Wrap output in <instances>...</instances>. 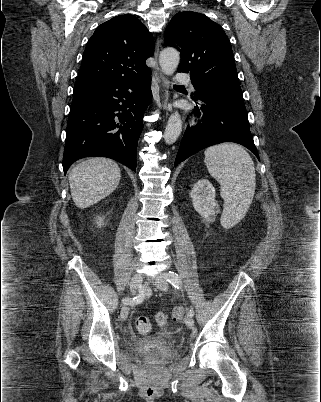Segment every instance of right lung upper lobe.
<instances>
[{"instance_id":"1","label":"right lung upper lobe","mask_w":321,"mask_h":402,"mask_svg":"<svg viewBox=\"0 0 321 402\" xmlns=\"http://www.w3.org/2000/svg\"><path fill=\"white\" fill-rule=\"evenodd\" d=\"M153 53L152 34L142 22L132 15L116 16L89 39L75 87L144 76L150 73L145 61Z\"/></svg>"}]
</instances>
